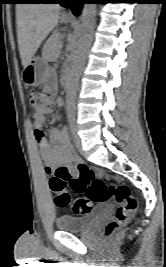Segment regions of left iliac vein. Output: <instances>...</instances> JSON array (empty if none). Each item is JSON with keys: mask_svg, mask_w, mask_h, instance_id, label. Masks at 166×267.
<instances>
[{"mask_svg": "<svg viewBox=\"0 0 166 267\" xmlns=\"http://www.w3.org/2000/svg\"><path fill=\"white\" fill-rule=\"evenodd\" d=\"M74 142H75V145H76V148L82 152V144H81V139L79 137V135L76 133V131H74Z\"/></svg>", "mask_w": 166, "mask_h": 267, "instance_id": "4c4485c4", "label": "left iliac vein"}]
</instances>
